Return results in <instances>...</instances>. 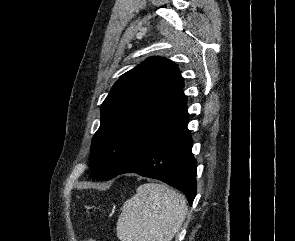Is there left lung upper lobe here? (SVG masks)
Masks as SVG:
<instances>
[{"instance_id":"5c2ea615","label":"left lung upper lobe","mask_w":295,"mask_h":241,"mask_svg":"<svg viewBox=\"0 0 295 241\" xmlns=\"http://www.w3.org/2000/svg\"><path fill=\"white\" fill-rule=\"evenodd\" d=\"M177 65L151 57L123 74L101 106L91 144L94 176L109 180L150 142L188 119Z\"/></svg>"}]
</instances>
